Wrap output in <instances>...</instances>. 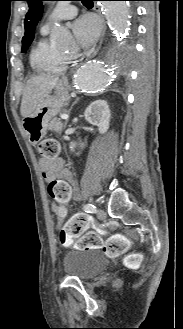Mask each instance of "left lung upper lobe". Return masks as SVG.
Instances as JSON below:
<instances>
[{
	"instance_id": "left-lung-upper-lobe-1",
	"label": "left lung upper lobe",
	"mask_w": 183,
	"mask_h": 329,
	"mask_svg": "<svg viewBox=\"0 0 183 329\" xmlns=\"http://www.w3.org/2000/svg\"><path fill=\"white\" fill-rule=\"evenodd\" d=\"M28 2L29 11L25 16V36L22 39V52L25 53L34 39V31L43 13L42 1L45 0H25Z\"/></svg>"
}]
</instances>
